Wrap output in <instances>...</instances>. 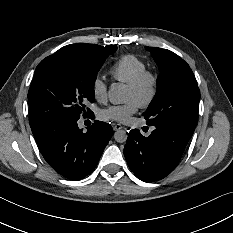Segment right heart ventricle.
Segmentation results:
<instances>
[{
    "label": "right heart ventricle",
    "mask_w": 233,
    "mask_h": 233,
    "mask_svg": "<svg viewBox=\"0 0 233 233\" xmlns=\"http://www.w3.org/2000/svg\"><path fill=\"white\" fill-rule=\"evenodd\" d=\"M146 69L145 62L133 54L121 56L112 66L110 74L114 80L128 84Z\"/></svg>",
    "instance_id": "right-heart-ventricle-1"
}]
</instances>
